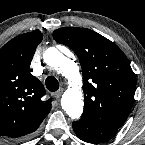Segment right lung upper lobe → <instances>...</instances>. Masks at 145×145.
<instances>
[{"label":"right lung upper lobe","instance_id":"right-lung-upper-lobe-1","mask_svg":"<svg viewBox=\"0 0 145 145\" xmlns=\"http://www.w3.org/2000/svg\"><path fill=\"white\" fill-rule=\"evenodd\" d=\"M39 30L19 35L0 49V136L18 138L34 132L51 109L30 63L42 41Z\"/></svg>","mask_w":145,"mask_h":145}]
</instances>
